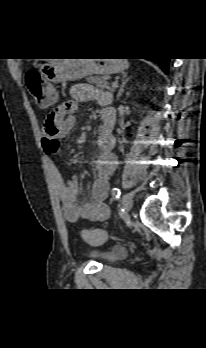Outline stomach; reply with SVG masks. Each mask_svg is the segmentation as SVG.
I'll return each mask as SVG.
<instances>
[{"instance_id": "stomach-1", "label": "stomach", "mask_w": 206, "mask_h": 348, "mask_svg": "<svg viewBox=\"0 0 206 348\" xmlns=\"http://www.w3.org/2000/svg\"><path fill=\"white\" fill-rule=\"evenodd\" d=\"M127 63L122 59H65L62 62L45 63L40 67V73L53 83L80 80L91 75L109 76L122 72ZM57 101V97H35L40 108H47Z\"/></svg>"}]
</instances>
